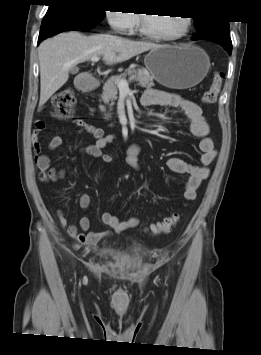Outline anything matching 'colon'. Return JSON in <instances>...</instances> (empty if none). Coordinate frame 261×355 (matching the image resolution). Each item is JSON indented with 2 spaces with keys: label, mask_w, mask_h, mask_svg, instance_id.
Returning <instances> with one entry per match:
<instances>
[{
  "label": "colon",
  "mask_w": 261,
  "mask_h": 355,
  "mask_svg": "<svg viewBox=\"0 0 261 355\" xmlns=\"http://www.w3.org/2000/svg\"><path fill=\"white\" fill-rule=\"evenodd\" d=\"M224 73L222 71L215 72L213 80L209 88L204 92L202 101L205 105H213L219 96ZM76 99L74 92L70 87H64L59 90L52 98V107L55 116L61 120H69L73 117ZM180 215L173 213L164 218L162 221L153 223L148 230L153 235L169 233L179 222Z\"/></svg>",
  "instance_id": "obj_1"
}]
</instances>
